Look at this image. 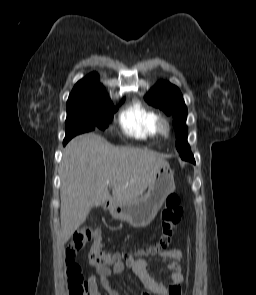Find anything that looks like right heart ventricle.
<instances>
[{
  "instance_id": "obj_1",
  "label": "right heart ventricle",
  "mask_w": 256,
  "mask_h": 295,
  "mask_svg": "<svg viewBox=\"0 0 256 295\" xmlns=\"http://www.w3.org/2000/svg\"><path fill=\"white\" fill-rule=\"evenodd\" d=\"M158 120V115L140 102L126 108L119 117L124 132L138 139L156 136Z\"/></svg>"
}]
</instances>
